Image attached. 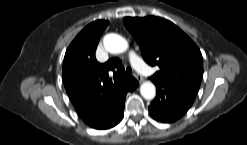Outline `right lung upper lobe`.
<instances>
[{
    "mask_svg": "<svg viewBox=\"0 0 247 145\" xmlns=\"http://www.w3.org/2000/svg\"><path fill=\"white\" fill-rule=\"evenodd\" d=\"M109 24L97 20L86 26L69 45L63 63V82L79 116L87 124L112 112L124 84L130 78H109V71L119 65L118 59L97 62L95 50L100 36Z\"/></svg>",
    "mask_w": 247,
    "mask_h": 145,
    "instance_id": "right-lung-upper-lobe-1",
    "label": "right lung upper lobe"
}]
</instances>
